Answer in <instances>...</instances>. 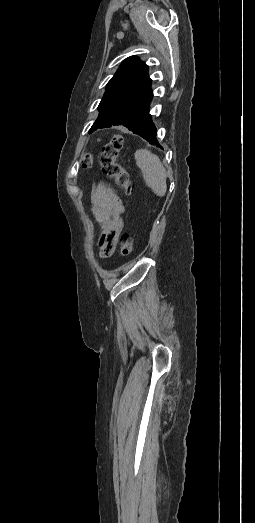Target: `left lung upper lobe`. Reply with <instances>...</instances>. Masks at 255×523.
Listing matches in <instances>:
<instances>
[{"instance_id":"1","label":"left lung upper lobe","mask_w":255,"mask_h":523,"mask_svg":"<svg viewBox=\"0 0 255 523\" xmlns=\"http://www.w3.org/2000/svg\"><path fill=\"white\" fill-rule=\"evenodd\" d=\"M151 82L144 62L134 56L125 59L106 86L98 106L99 116L89 133L114 125H123L138 135V130H153L151 126L156 123L149 114Z\"/></svg>"}]
</instances>
